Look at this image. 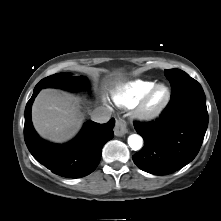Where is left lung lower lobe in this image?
<instances>
[{"label": "left lung lower lobe", "instance_id": "0a47b994", "mask_svg": "<svg viewBox=\"0 0 221 221\" xmlns=\"http://www.w3.org/2000/svg\"><path fill=\"white\" fill-rule=\"evenodd\" d=\"M208 126L206 98L201 85L171 95V101L155 121L134 124L144 147L133 156L143 171L155 175L175 172L199 152Z\"/></svg>", "mask_w": 221, "mask_h": 221}]
</instances>
